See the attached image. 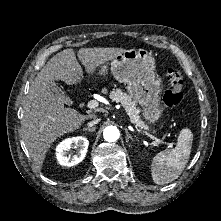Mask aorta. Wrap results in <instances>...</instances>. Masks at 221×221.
Instances as JSON below:
<instances>
[{
  "instance_id": "1",
  "label": "aorta",
  "mask_w": 221,
  "mask_h": 221,
  "mask_svg": "<svg viewBox=\"0 0 221 221\" xmlns=\"http://www.w3.org/2000/svg\"><path fill=\"white\" fill-rule=\"evenodd\" d=\"M119 135H120L119 130L115 126H107L103 132L104 139L108 142L117 141Z\"/></svg>"
}]
</instances>
